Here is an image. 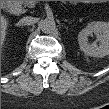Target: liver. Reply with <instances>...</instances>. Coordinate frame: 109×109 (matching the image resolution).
I'll use <instances>...</instances> for the list:
<instances>
[{
  "label": "liver",
  "mask_w": 109,
  "mask_h": 109,
  "mask_svg": "<svg viewBox=\"0 0 109 109\" xmlns=\"http://www.w3.org/2000/svg\"><path fill=\"white\" fill-rule=\"evenodd\" d=\"M6 29H7V21H6V19L2 18V21H1V38H2V41H4Z\"/></svg>",
  "instance_id": "1"
}]
</instances>
